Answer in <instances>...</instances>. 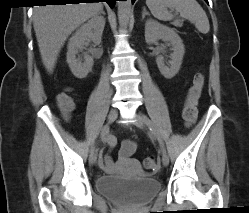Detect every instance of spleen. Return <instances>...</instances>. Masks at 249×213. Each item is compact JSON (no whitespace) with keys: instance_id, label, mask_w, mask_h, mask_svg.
Instances as JSON below:
<instances>
[{"instance_id":"3e777b00","label":"spleen","mask_w":249,"mask_h":213,"mask_svg":"<svg viewBox=\"0 0 249 213\" xmlns=\"http://www.w3.org/2000/svg\"><path fill=\"white\" fill-rule=\"evenodd\" d=\"M152 15L162 21H168L173 15L167 8L174 9L180 17L195 24L199 32L206 34L210 30L208 17L196 0H146Z\"/></svg>"}]
</instances>
